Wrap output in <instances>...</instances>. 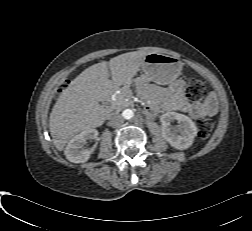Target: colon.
I'll use <instances>...</instances> for the list:
<instances>
[{
	"instance_id": "colon-1",
	"label": "colon",
	"mask_w": 252,
	"mask_h": 231,
	"mask_svg": "<svg viewBox=\"0 0 252 231\" xmlns=\"http://www.w3.org/2000/svg\"><path fill=\"white\" fill-rule=\"evenodd\" d=\"M189 97L193 101H198L201 97V91L200 89L195 86L191 87L190 92H189ZM208 128V124H202V131H205Z\"/></svg>"
}]
</instances>
